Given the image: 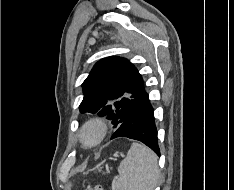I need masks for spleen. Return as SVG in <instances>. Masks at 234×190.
I'll use <instances>...</instances> for the list:
<instances>
[{"instance_id": "1", "label": "spleen", "mask_w": 234, "mask_h": 190, "mask_svg": "<svg viewBox=\"0 0 234 190\" xmlns=\"http://www.w3.org/2000/svg\"><path fill=\"white\" fill-rule=\"evenodd\" d=\"M112 190H154L159 177L156 154L140 143H132L118 167Z\"/></svg>"}]
</instances>
